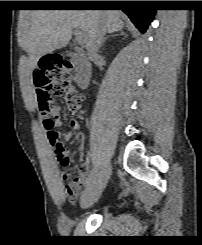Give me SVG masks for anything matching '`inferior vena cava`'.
Segmentation results:
<instances>
[{
  "mask_svg": "<svg viewBox=\"0 0 202 245\" xmlns=\"http://www.w3.org/2000/svg\"><path fill=\"white\" fill-rule=\"evenodd\" d=\"M105 34H106V28L104 24L101 23L96 29L92 42L88 49V56L90 59L97 57L98 50L102 45Z\"/></svg>",
  "mask_w": 202,
  "mask_h": 245,
  "instance_id": "1",
  "label": "inferior vena cava"
}]
</instances>
